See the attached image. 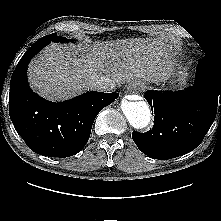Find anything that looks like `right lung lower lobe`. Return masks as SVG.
I'll list each match as a JSON object with an SVG mask.
<instances>
[{
    "label": "right lung lower lobe",
    "mask_w": 221,
    "mask_h": 221,
    "mask_svg": "<svg viewBox=\"0 0 221 221\" xmlns=\"http://www.w3.org/2000/svg\"><path fill=\"white\" fill-rule=\"evenodd\" d=\"M50 41L40 38L20 59L11 77L9 115L32 151L65 158L83 149L96 116L118 93L91 91L61 103L47 101L34 93L27 81V65Z\"/></svg>",
    "instance_id": "1"
}]
</instances>
